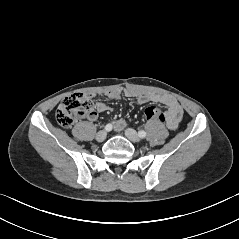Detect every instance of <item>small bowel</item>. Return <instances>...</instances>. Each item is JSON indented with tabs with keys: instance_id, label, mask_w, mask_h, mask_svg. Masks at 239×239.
I'll return each instance as SVG.
<instances>
[{
	"instance_id": "small-bowel-1",
	"label": "small bowel",
	"mask_w": 239,
	"mask_h": 239,
	"mask_svg": "<svg viewBox=\"0 0 239 239\" xmlns=\"http://www.w3.org/2000/svg\"><path fill=\"white\" fill-rule=\"evenodd\" d=\"M125 96L135 98L136 101L140 104H144L147 102H155L161 103L166 107L165 113V123L166 126L170 130H175L178 127L179 122L182 119L183 110L178 101L169 96L164 94H157V93H150V94H142L137 93L134 91H126ZM107 97L110 99H120L122 92L118 89L109 90L106 92ZM112 111V108L105 103L98 102L95 105V111L88 116L90 120H94L97 117L98 113ZM126 125V121L123 118L117 119L113 122V127L116 131H121Z\"/></svg>"
}]
</instances>
